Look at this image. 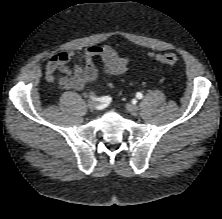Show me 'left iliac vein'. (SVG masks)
Wrapping results in <instances>:
<instances>
[{
	"label": "left iliac vein",
	"instance_id": "1",
	"mask_svg": "<svg viewBox=\"0 0 222 219\" xmlns=\"http://www.w3.org/2000/svg\"><path fill=\"white\" fill-rule=\"evenodd\" d=\"M125 107H126V110L132 115H136L139 111L138 106L135 104L128 103V104H126Z\"/></svg>",
	"mask_w": 222,
	"mask_h": 219
}]
</instances>
